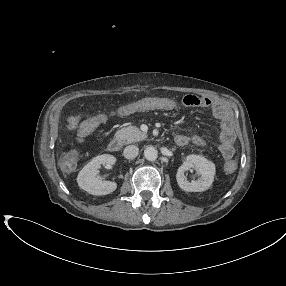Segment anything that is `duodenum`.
I'll return each mask as SVG.
<instances>
[{"mask_svg":"<svg viewBox=\"0 0 286 286\" xmlns=\"http://www.w3.org/2000/svg\"><path fill=\"white\" fill-rule=\"evenodd\" d=\"M122 147V140L120 138H113L108 143V150L111 152H118Z\"/></svg>","mask_w":286,"mask_h":286,"instance_id":"duodenum-1","label":"duodenum"}]
</instances>
